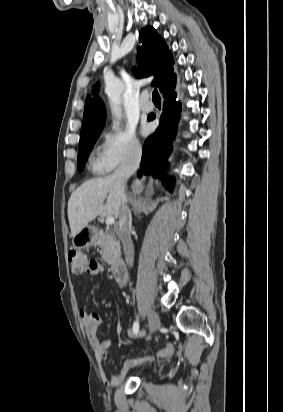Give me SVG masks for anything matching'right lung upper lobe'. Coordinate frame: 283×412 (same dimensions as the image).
<instances>
[{
	"mask_svg": "<svg viewBox=\"0 0 283 412\" xmlns=\"http://www.w3.org/2000/svg\"><path fill=\"white\" fill-rule=\"evenodd\" d=\"M139 39L142 43L138 48L140 68L138 77L154 75L153 86L162 92L166 86L175 84L176 75L173 69V55L165 41L157 34L153 27L147 26L140 31ZM98 91V85L93 89V94ZM106 119V109L103 101L96 95H88L85 102L81 137L92 133L101 132Z\"/></svg>",
	"mask_w": 283,
	"mask_h": 412,
	"instance_id": "cb5924a9",
	"label": "right lung upper lobe"
}]
</instances>
